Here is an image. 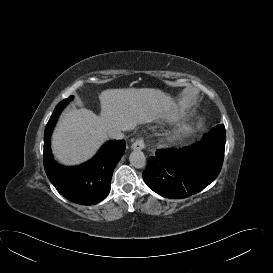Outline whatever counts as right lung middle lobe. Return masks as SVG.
Wrapping results in <instances>:
<instances>
[{"instance_id": "right-lung-middle-lobe-1", "label": "right lung middle lobe", "mask_w": 273, "mask_h": 273, "mask_svg": "<svg viewBox=\"0 0 273 273\" xmlns=\"http://www.w3.org/2000/svg\"><path fill=\"white\" fill-rule=\"evenodd\" d=\"M72 99H73V96H70L69 98L64 99L61 103L64 105H67Z\"/></svg>"}]
</instances>
